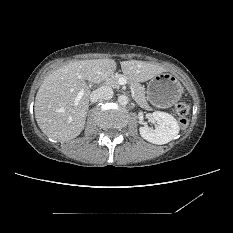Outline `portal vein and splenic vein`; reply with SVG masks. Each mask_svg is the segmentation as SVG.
Masks as SVG:
<instances>
[{
    "instance_id": "18ae733b",
    "label": "portal vein and splenic vein",
    "mask_w": 233,
    "mask_h": 233,
    "mask_svg": "<svg viewBox=\"0 0 233 233\" xmlns=\"http://www.w3.org/2000/svg\"><path fill=\"white\" fill-rule=\"evenodd\" d=\"M119 82H121V83H120L121 85L127 84V80H126L124 77H121V78L119 79ZM82 96H83V91H80V92L78 93L76 99H75V104H76V105L78 104V102L80 101V99L82 98Z\"/></svg>"
}]
</instances>
